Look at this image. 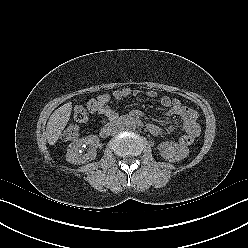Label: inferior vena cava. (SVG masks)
<instances>
[{
    "label": "inferior vena cava",
    "instance_id": "inferior-vena-cava-1",
    "mask_svg": "<svg viewBox=\"0 0 248 248\" xmlns=\"http://www.w3.org/2000/svg\"><path fill=\"white\" fill-rule=\"evenodd\" d=\"M121 129H122V127H118V128L115 129V131H119Z\"/></svg>",
    "mask_w": 248,
    "mask_h": 248
}]
</instances>
